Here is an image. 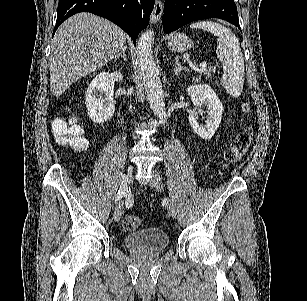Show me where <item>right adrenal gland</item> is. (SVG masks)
<instances>
[{
  "label": "right adrenal gland",
  "instance_id": "obj_1",
  "mask_svg": "<svg viewBox=\"0 0 307 301\" xmlns=\"http://www.w3.org/2000/svg\"><path fill=\"white\" fill-rule=\"evenodd\" d=\"M115 60H117V58H123V60H127V56H126V46H124V48H122L121 52H119V54H117V56H114Z\"/></svg>",
  "mask_w": 307,
  "mask_h": 301
}]
</instances>
